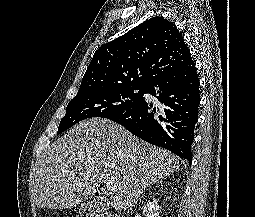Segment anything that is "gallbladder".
I'll use <instances>...</instances> for the list:
<instances>
[{
    "instance_id": "gallbladder-1",
    "label": "gallbladder",
    "mask_w": 255,
    "mask_h": 217,
    "mask_svg": "<svg viewBox=\"0 0 255 217\" xmlns=\"http://www.w3.org/2000/svg\"><path fill=\"white\" fill-rule=\"evenodd\" d=\"M100 202H101L100 198H93L87 202L82 203L79 208V213L90 214L93 211L94 207H97Z\"/></svg>"
}]
</instances>
